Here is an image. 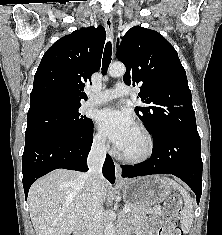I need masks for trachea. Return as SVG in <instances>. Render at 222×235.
Segmentation results:
<instances>
[{
	"label": "trachea",
	"instance_id": "3493384b",
	"mask_svg": "<svg viewBox=\"0 0 222 235\" xmlns=\"http://www.w3.org/2000/svg\"><path fill=\"white\" fill-rule=\"evenodd\" d=\"M111 57H112V45L111 42H107L105 49H104V54H103V59H102V75H105L107 73L109 64L111 63Z\"/></svg>",
	"mask_w": 222,
	"mask_h": 235
}]
</instances>
